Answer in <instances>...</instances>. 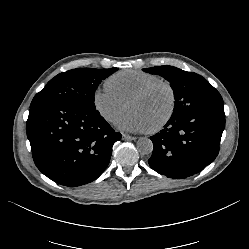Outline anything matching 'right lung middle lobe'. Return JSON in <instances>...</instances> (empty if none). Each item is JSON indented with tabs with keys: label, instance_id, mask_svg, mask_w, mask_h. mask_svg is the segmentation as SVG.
Masks as SVG:
<instances>
[{
	"label": "right lung middle lobe",
	"instance_id": "1",
	"mask_svg": "<svg viewBox=\"0 0 249 249\" xmlns=\"http://www.w3.org/2000/svg\"><path fill=\"white\" fill-rule=\"evenodd\" d=\"M118 68H77L63 72L51 79L33 98L30 108L49 103H72L95 109L94 95L101 81Z\"/></svg>",
	"mask_w": 249,
	"mask_h": 249
}]
</instances>
